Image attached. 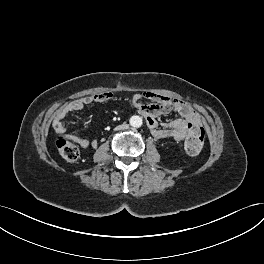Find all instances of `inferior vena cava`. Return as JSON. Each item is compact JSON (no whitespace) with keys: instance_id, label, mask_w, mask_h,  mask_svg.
Wrapping results in <instances>:
<instances>
[{"instance_id":"602c4592","label":"inferior vena cava","mask_w":264,"mask_h":264,"mask_svg":"<svg viewBox=\"0 0 264 264\" xmlns=\"http://www.w3.org/2000/svg\"><path fill=\"white\" fill-rule=\"evenodd\" d=\"M128 127H129V126H128L126 123H125V124H124V123H123V124L121 123V124L117 125V126L115 127V129H116L117 131H118V130L120 131V130H123V129H124V130L127 129Z\"/></svg>"}]
</instances>
